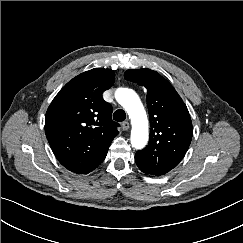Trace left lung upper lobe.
Wrapping results in <instances>:
<instances>
[{
  "instance_id": "left-lung-upper-lobe-1",
  "label": "left lung upper lobe",
  "mask_w": 243,
  "mask_h": 243,
  "mask_svg": "<svg viewBox=\"0 0 243 243\" xmlns=\"http://www.w3.org/2000/svg\"><path fill=\"white\" fill-rule=\"evenodd\" d=\"M124 77L147 88L150 117L149 144L135 154L139 169L148 175H164L185 156L193 128L186 105L172 85L156 71L127 70Z\"/></svg>"
}]
</instances>
